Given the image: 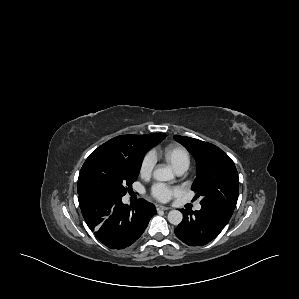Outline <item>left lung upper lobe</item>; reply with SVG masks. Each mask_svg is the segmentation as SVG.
<instances>
[{
    "mask_svg": "<svg viewBox=\"0 0 299 299\" xmlns=\"http://www.w3.org/2000/svg\"><path fill=\"white\" fill-rule=\"evenodd\" d=\"M197 162V178L192 185L201 206L231 217L238 199L239 178L234 162L217 146L198 139L174 136Z\"/></svg>",
    "mask_w": 299,
    "mask_h": 299,
    "instance_id": "5c2ea615",
    "label": "left lung upper lobe"
}]
</instances>
